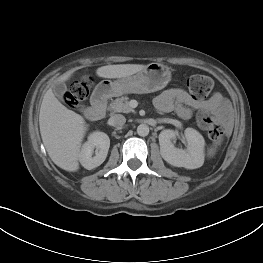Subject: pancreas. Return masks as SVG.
<instances>
[{
    "mask_svg": "<svg viewBox=\"0 0 263 263\" xmlns=\"http://www.w3.org/2000/svg\"><path fill=\"white\" fill-rule=\"evenodd\" d=\"M108 110L112 113L115 112H122V113H129L134 112L133 108L129 105V98L127 96H122L113 100L110 105L108 106Z\"/></svg>",
    "mask_w": 263,
    "mask_h": 263,
    "instance_id": "pancreas-1",
    "label": "pancreas"
}]
</instances>
